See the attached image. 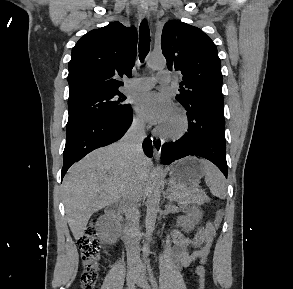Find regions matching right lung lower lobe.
<instances>
[{
	"mask_svg": "<svg viewBox=\"0 0 293 289\" xmlns=\"http://www.w3.org/2000/svg\"><path fill=\"white\" fill-rule=\"evenodd\" d=\"M132 123L131 106L122 112L93 118L66 129V145L63 152V178L69 167L89 152L119 140ZM143 150L152 157V142L146 138Z\"/></svg>",
	"mask_w": 293,
	"mask_h": 289,
	"instance_id": "1",
	"label": "right lung lower lobe"
}]
</instances>
